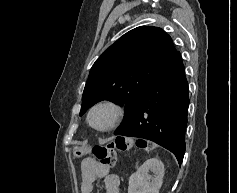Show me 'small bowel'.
<instances>
[{"label":"small bowel","instance_id":"1","mask_svg":"<svg viewBox=\"0 0 237 193\" xmlns=\"http://www.w3.org/2000/svg\"><path fill=\"white\" fill-rule=\"evenodd\" d=\"M97 179L103 180L105 193H119V176L111 173L109 169L102 167L94 161H89L83 166L80 192L94 193Z\"/></svg>","mask_w":237,"mask_h":193}]
</instances>
